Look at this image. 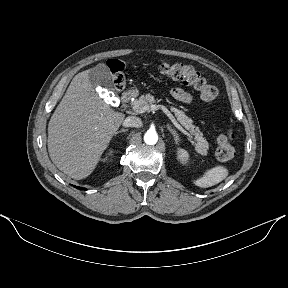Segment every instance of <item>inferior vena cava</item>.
Instances as JSON below:
<instances>
[{
	"label": "inferior vena cava",
	"mask_w": 288,
	"mask_h": 288,
	"mask_svg": "<svg viewBox=\"0 0 288 288\" xmlns=\"http://www.w3.org/2000/svg\"><path fill=\"white\" fill-rule=\"evenodd\" d=\"M124 127H141L142 121L139 117L129 116L123 121Z\"/></svg>",
	"instance_id": "inferior-vena-cava-1"
}]
</instances>
